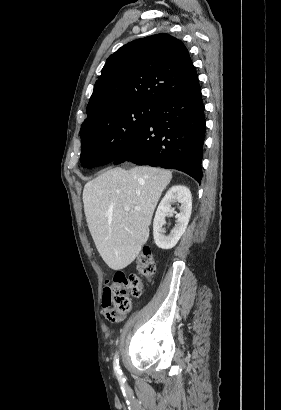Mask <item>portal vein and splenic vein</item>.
I'll return each instance as SVG.
<instances>
[{
	"label": "portal vein and splenic vein",
	"instance_id": "1",
	"mask_svg": "<svg viewBox=\"0 0 281 410\" xmlns=\"http://www.w3.org/2000/svg\"><path fill=\"white\" fill-rule=\"evenodd\" d=\"M134 209L137 210V211H140V210H141L140 207H134ZM124 210H125L126 212H128V211L130 210V208H129L128 206H125V207H124Z\"/></svg>",
	"mask_w": 281,
	"mask_h": 410
}]
</instances>
